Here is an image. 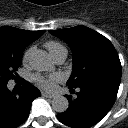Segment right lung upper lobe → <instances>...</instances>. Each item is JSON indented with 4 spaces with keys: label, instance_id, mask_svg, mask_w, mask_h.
Returning a JSON list of instances; mask_svg holds the SVG:
<instances>
[{
    "label": "right lung upper lobe",
    "instance_id": "1",
    "mask_svg": "<svg viewBox=\"0 0 128 128\" xmlns=\"http://www.w3.org/2000/svg\"><path fill=\"white\" fill-rule=\"evenodd\" d=\"M45 31H28L10 26L0 27V45L24 50L26 46L38 39Z\"/></svg>",
    "mask_w": 128,
    "mask_h": 128
}]
</instances>
